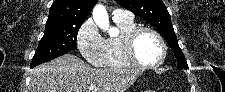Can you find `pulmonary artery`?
Here are the masks:
<instances>
[{"label":"pulmonary artery","instance_id":"pulmonary-artery-1","mask_svg":"<svg viewBox=\"0 0 225 92\" xmlns=\"http://www.w3.org/2000/svg\"><path fill=\"white\" fill-rule=\"evenodd\" d=\"M112 15H113L114 20L133 18V15L130 11L123 10V9H120V8L114 9Z\"/></svg>","mask_w":225,"mask_h":92}]
</instances>
